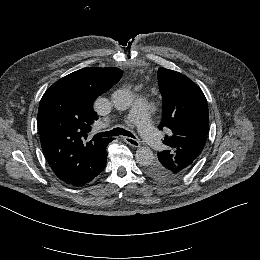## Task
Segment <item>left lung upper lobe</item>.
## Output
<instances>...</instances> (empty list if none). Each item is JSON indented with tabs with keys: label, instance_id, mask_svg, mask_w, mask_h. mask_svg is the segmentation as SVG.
I'll list each match as a JSON object with an SVG mask.
<instances>
[{
	"label": "left lung upper lobe",
	"instance_id": "5c2ea615",
	"mask_svg": "<svg viewBox=\"0 0 260 260\" xmlns=\"http://www.w3.org/2000/svg\"><path fill=\"white\" fill-rule=\"evenodd\" d=\"M158 82L163 95V118L159 128H169L163 143L168 149L158 153V161L146 168L159 181L175 182L197 163L204 148L209 126L206 98L188 77L159 68Z\"/></svg>",
	"mask_w": 260,
	"mask_h": 260
}]
</instances>
